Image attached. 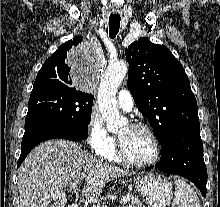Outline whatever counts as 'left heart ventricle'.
Instances as JSON below:
<instances>
[{
    "instance_id": "b2bd125f",
    "label": "left heart ventricle",
    "mask_w": 220,
    "mask_h": 207,
    "mask_svg": "<svg viewBox=\"0 0 220 207\" xmlns=\"http://www.w3.org/2000/svg\"><path fill=\"white\" fill-rule=\"evenodd\" d=\"M116 136L121 140L127 156L137 162L149 161L154 155V144L143 130L124 126Z\"/></svg>"
}]
</instances>
